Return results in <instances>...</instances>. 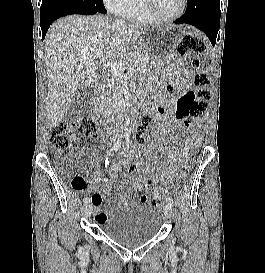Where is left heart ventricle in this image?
Segmentation results:
<instances>
[{"label":"left heart ventricle","mask_w":265,"mask_h":273,"mask_svg":"<svg viewBox=\"0 0 265 273\" xmlns=\"http://www.w3.org/2000/svg\"><path fill=\"white\" fill-rule=\"evenodd\" d=\"M182 5V0H151V7L155 14L161 17L176 15Z\"/></svg>","instance_id":"1"}]
</instances>
